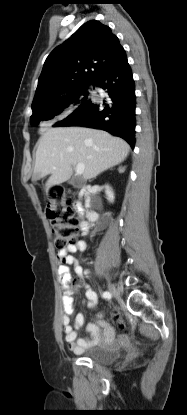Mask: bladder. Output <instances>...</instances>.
<instances>
[{
  "label": "bladder",
  "mask_w": 187,
  "mask_h": 415,
  "mask_svg": "<svg viewBox=\"0 0 187 415\" xmlns=\"http://www.w3.org/2000/svg\"><path fill=\"white\" fill-rule=\"evenodd\" d=\"M122 353V348L121 347H115V348H107V349H95V350H91V351H84L81 354L83 355V357L99 363V364H104V365H108V364H112L114 362H116Z\"/></svg>",
  "instance_id": "31cf9c89"
}]
</instances>
